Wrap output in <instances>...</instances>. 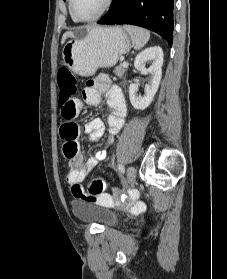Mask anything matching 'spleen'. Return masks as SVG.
Returning a JSON list of instances; mask_svg holds the SVG:
<instances>
[{
    "label": "spleen",
    "instance_id": "spleen-1",
    "mask_svg": "<svg viewBox=\"0 0 227 279\" xmlns=\"http://www.w3.org/2000/svg\"><path fill=\"white\" fill-rule=\"evenodd\" d=\"M124 30L130 35L134 49L139 50L145 46L150 38V32L146 29L124 25Z\"/></svg>",
    "mask_w": 227,
    "mask_h": 279
}]
</instances>
